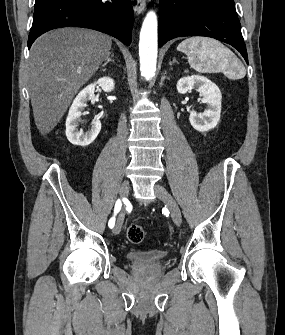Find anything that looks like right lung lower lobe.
<instances>
[{
    "mask_svg": "<svg viewBox=\"0 0 285 335\" xmlns=\"http://www.w3.org/2000/svg\"><path fill=\"white\" fill-rule=\"evenodd\" d=\"M28 48L43 33L80 26L109 34L125 45L131 43L134 20L130 0H35Z\"/></svg>",
    "mask_w": 285,
    "mask_h": 335,
    "instance_id": "98d812e1",
    "label": "right lung lower lobe"
}]
</instances>
